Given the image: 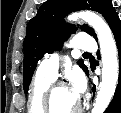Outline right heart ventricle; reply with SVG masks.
Listing matches in <instances>:
<instances>
[{"label": "right heart ventricle", "mask_w": 121, "mask_h": 113, "mask_svg": "<svg viewBox=\"0 0 121 113\" xmlns=\"http://www.w3.org/2000/svg\"><path fill=\"white\" fill-rule=\"evenodd\" d=\"M52 81L53 79L47 76L41 75L39 73L36 74V77L33 83L32 92L30 95L29 109L46 110L45 91Z\"/></svg>", "instance_id": "obj_1"}]
</instances>
